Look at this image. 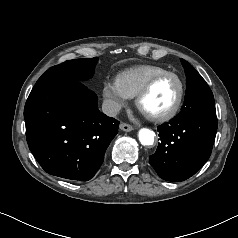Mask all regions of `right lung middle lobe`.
<instances>
[{"instance_id":"right-lung-middle-lobe-1","label":"right lung middle lobe","mask_w":238,"mask_h":238,"mask_svg":"<svg viewBox=\"0 0 238 238\" xmlns=\"http://www.w3.org/2000/svg\"><path fill=\"white\" fill-rule=\"evenodd\" d=\"M98 58L68 60L48 69L37 84L56 83L66 80L85 81L92 77Z\"/></svg>"}]
</instances>
